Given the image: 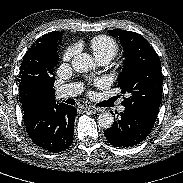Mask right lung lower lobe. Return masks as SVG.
<instances>
[{
  "mask_svg": "<svg viewBox=\"0 0 183 183\" xmlns=\"http://www.w3.org/2000/svg\"><path fill=\"white\" fill-rule=\"evenodd\" d=\"M28 135L39 147L61 152L73 141L76 109L55 99L34 102L23 109Z\"/></svg>",
  "mask_w": 183,
  "mask_h": 183,
  "instance_id": "98d812e1",
  "label": "right lung lower lobe"
}]
</instances>
